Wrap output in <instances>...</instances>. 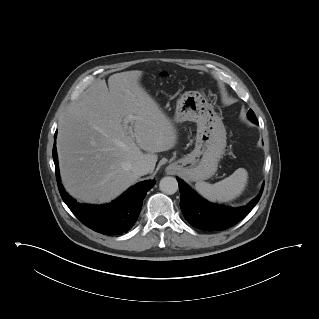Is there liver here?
Here are the masks:
<instances>
[{
  "label": "liver",
  "mask_w": 319,
  "mask_h": 319,
  "mask_svg": "<svg viewBox=\"0 0 319 319\" xmlns=\"http://www.w3.org/2000/svg\"><path fill=\"white\" fill-rule=\"evenodd\" d=\"M142 75L138 70L113 74L109 88L105 80L96 82L59 122L60 175L74 198L110 202L140 177L132 171L135 163L146 161L152 173L156 153L175 146L176 129L141 86Z\"/></svg>",
  "instance_id": "obj_1"
}]
</instances>
